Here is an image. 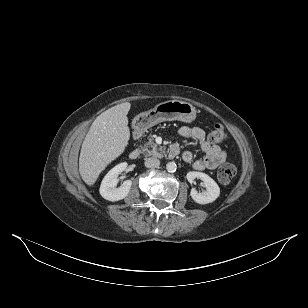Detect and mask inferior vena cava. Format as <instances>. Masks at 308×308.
<instances>
[{
  "label": "inferior vena cava",
  "instance_id": "obj_1",
  "mask_svg": "<svg viewBox=\"0 0 308 308\" xmlns=\"http://www.w3.org/2000/svg\"><path fill=\"white\" fill-rule=\"evenodd\" d=\"M160 165V161L156 157L146 158L145 167L147 168H157Z\"/></svg>",
  "mask_w": 308,
  "mask_h": 308
}]
</instances>
